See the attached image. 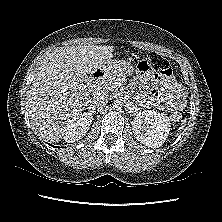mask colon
Returning <instances> with one entry per match:
<instances>
[{
  "label": "colon",
  "instance_id": "5ec220e1",
  "mask_svg": "<svg viewBox=\"0 0 222 222\" xmlns=\"http://www.w3.org/2000/svg\"><path fill=\"white\" fill-rule=\"evenodd\" d=\"M169 65L167 61L159 54H151L145 61L139 65V72L142 74L152 73L160 71L161 73L167 72ZM171 119L174 122H178L181 119V114L175 111L171 114Z\"/></svg>",
  "mask_w": 222,
  "mask_h": 222
}]
</instances>
